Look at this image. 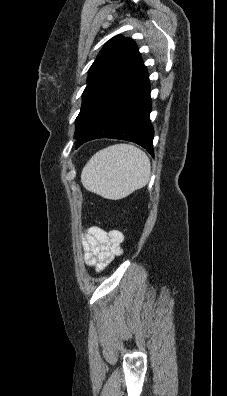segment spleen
<instances>
[{
	"label": "spleen",
	"mask_w": 227,
	"mask_h": 396,
	"mask_svg": "<svg viewBox=\"0 0 227 396\" xmlns=\"http://www.w3.org/2000/svg\"><path fill=\"white\" fill-rule=\"evenodd\" d=\"M148 156L129 144H115L94 154L84 166L81 182L106 199H121L143 188L150 179Z\"/></svg>",
	"instance_id": "1"
}]
</instances>
